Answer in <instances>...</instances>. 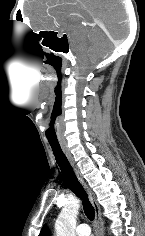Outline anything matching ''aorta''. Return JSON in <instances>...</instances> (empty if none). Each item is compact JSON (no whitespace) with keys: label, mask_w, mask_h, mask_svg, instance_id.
<instances>
[{"label":"aorta","mask_w":145,"mask_h":236,"mask_svg":"<svg viewBox=\"0 0 145 236\" xmlns=\"http://www.w3.org/2000/svg\"><path fill=\"white\" fill-rule=\"evenodd\" d=\"M80 208L79 200L73 199L61 210L56 223V236H75L76 218Z\"/></svg>","instance_id":"obj_1"}]
</instances>
